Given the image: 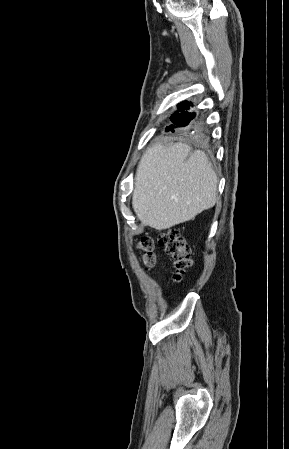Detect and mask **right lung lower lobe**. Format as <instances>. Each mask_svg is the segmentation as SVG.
<instances>
[{
	"instance_id": "98d812e1",
	"label": "right lung lower lobe",
	"mask_w": 289,
	"mask_h": 449,
	"mask_svg": "<svg viewBox=\"0 0 289 449\" xmlns=\"http://www.w3.org/2000/svg\"><path fill=\"white\" fill-rule=\"evenodd\" d=\"M190 103L188 101H184L181 102L180 104H178V111L172 115L171 117V121L176 124L179 127H186L188 125H190L191 127V131L200 128V124H194L193 122H191L192 119L195 118V113H189L187 110L189 109ZM181 112V113H179ZM191 122V123H190ZM176 126L172 125L170 127H168V130H171L172 132H174V129ZM193 127V128H192Z\"/></svg>"
}]
</instances>
